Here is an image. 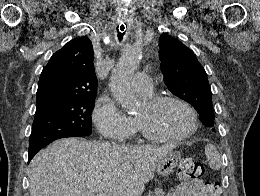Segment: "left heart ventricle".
Listing matches in <instances>:
<instances>
[{
  "instance_id": "b2bd125f",
  "label": "left heart ventricle",
  "mask_w": 260,
  "mask_h": 196,
  "mask_svg": "<svg viewBox=\"0 0 260 196\" xmlns=\"http://www.w3.org/2000/svg\"><path fill=\"white\" fill-rule=\"evenodd\" d=\"M135 117L151 131L169 136L185 133L192 124L191 113L186 107L176 102L164 104L155 110L148 109L144 103ZM109 191L113 190H93V192Z\"/></svg>"
}]
</instances>
